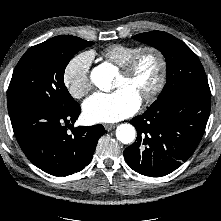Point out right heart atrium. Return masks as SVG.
Instances as JSON below:
<instances>
[{"label": "right heart atrium", "instance_id": "d8ad5b80", "mask_svg": "<svg viewBox=\"0 0 221 221\" xmlns=\"http://www.w3.org/2000/svg\"><path fill=\"white\" fill-rule=\"evenodd\" d=\"M91 62L92 54L83 52L74 56L66 65L63 82L72 97L82 98L91 90Z\"/></svg>", "mask_w": 221, "mask_h": 221}]
</instances>
